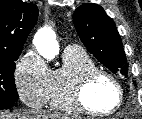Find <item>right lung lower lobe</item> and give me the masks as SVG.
Instances as JSON below:
<instances>
[{
    "mask_svg": "<svg viewBox=\"0 0 142 119\" xmlns=\"http://www.w3.org/2000/svg\"><path fill=\"white\" fill-rule=\"evenodd\" d=\"M10 107H11V105H8V104H0V109H7Z\"/></svg>",
    "mask_w": 142,
    "mask_h": 119,
    "instance_id": "98d812e1",
    "label": "right lung lower lobe"
}]
</instances>
